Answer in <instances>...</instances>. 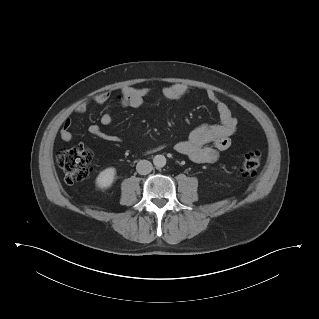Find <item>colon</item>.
<instances>
[{
	"instance_id": "colon-1",
	"label": "colon",
	"mask_w": 319,
	"mask_h": 319,
	"mask_svg": "<svg viewBox=\"0 0 319 319\" xmlns=\"http://www.w3.org/2000/svg\"><path fill=\"white\" fill-rule=\"evenodd\" d=\"M57 164L62 169L67 182L76 183L86 180L92 172V155L82 144L62 149L57 154ZM261 165V154L251 150L244 154L241 166L243 174L255 172Z\"/></svg>"
}]
</instances>
